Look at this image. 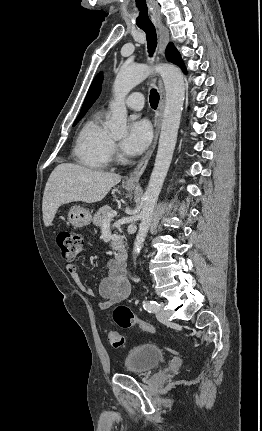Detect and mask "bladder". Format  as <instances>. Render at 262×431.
<instances>
[{"label":"bladder","instance_id":"obj_1","mask_svg":"<svg viewBox=\"0 0 262 431\" xmlns=\"http://www.w3.org/2000/svg\"><path fill=\"white\" fill-rule=\"evenodd\" d=\"M165 359L161 348L149 341L136 343L124 359V369L131 374H144L153 370Z\"/></svg>","mask_w":262,"mask_h":431}]
</instances>
